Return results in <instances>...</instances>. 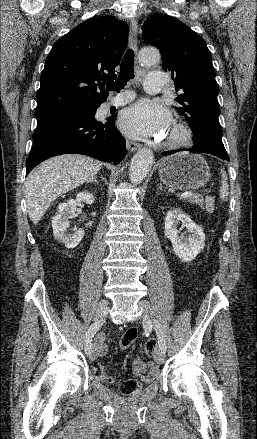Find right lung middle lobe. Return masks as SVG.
<instances>
[{"mask_svg":"<svg viewBox=\"0 0 257 439\" xmlns=\"http://www.w3.org/2000/svg\"><path fill=\"white\" fill-rule=\"evenodd\" d=\"M96 108V107H95ZM95 108H87V109H95ZM83 110V109H82Z\"/></svg>","mask_w":257,"mask_h":439,"instance_id":"1","label":"right lung middle lobe"}]
</instances>
